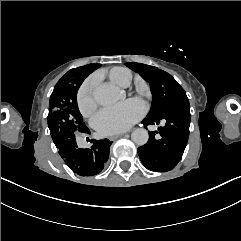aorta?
<instances>
[{
    "instance_id": "obj_1",
    "label": "aorta",
    "mask_w": 241,
    "mask_h": 241,
    "mask_svg": "<svg viewBox=\"0 0 241 241\" xmlns=\"http://www.w3.org/2000/svg\"><path fill=\"white\" fill-rule=\"evenodd\" d=\"M119 95V89L109 83H101L93 91V98L98 104L103 106L114 104L118 100ZM131 139L136 145L143 146L148 142V131L144 128H137L132 132Z\"/></svg>"
}]
</instances>
